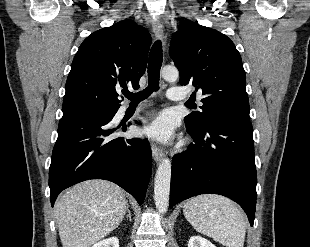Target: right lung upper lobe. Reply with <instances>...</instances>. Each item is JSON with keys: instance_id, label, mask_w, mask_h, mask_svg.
<instances>
[{"instance_id": "1", "label": "right lung upper lobe", "mask_w": 310, "mask_h": 247, "mask_svg": "<svg viewBox=\"0 0 310 247\" xmlns=\"http://www.w3.org/2000/svg\"><path fill=\"white\" fill-rule=\"evenodd\" d=\"M149 32L132 20L89 35L80 45L65 85L63 112L81 108L118 110L120 87L139 88L147 67Z\"/></svg>"}]
</instances>
